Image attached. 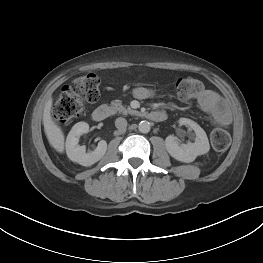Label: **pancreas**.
<instances>
[{
	"label": "pancreas",
	"mask_w": 263,
	"mask_h": 263,
	"mask_svg": "<svg viewBox=\"0 0 263 263\" xmlns=\"http://www.w3.org/2000/svg\"><path fill=\"white\" fill-rule=\"evenodd\" d=\"M111 110L113 113L119 112V113H123L124 115L137 114V111L132 110L131 108H125L124 106H122V103L120 100H114L111 102Z\"/></svg>",
	"instance_id": "obj_1"
}]
</instances>
